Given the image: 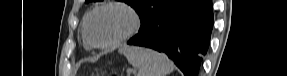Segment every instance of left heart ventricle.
I'll use <instances>...</instances> for the list:
<instances>
[{
    "mask_svg": "<svg viewBox=\"0 0 287 76\" xmlns=\"http://www.w3.org/2000/svg\"><path fill=\"white\" fill-rule=\"evenodd\" d=\"M130 17L120 9L110 8L95 14L89 26L91 38L97 43H108L129 26Z\"/></svg>",
    "mask_w": 287,
    "mask_h": 76,
    "instance_id": "left-heart-ventricle-1",
    "label": "left heart ventricle"
}]
</instances>
